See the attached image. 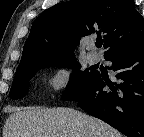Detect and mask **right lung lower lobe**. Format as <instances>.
Returning a JSON list of instances; mask_svg holds the SVG:
<instances>
[{
    "label": "right lung lower lobe",
    "mask_w": 144,
    "mask_h": 137,
    "mask_svg": "<svg viewBox=\"0 0 144 137\" xmlns=\"http://www.w3.org/2000/svg\"><path fill=\"white\" fill-rule=\"evenodd\" d=\"M116 80L100 71L74 101L128 137H144V39L110 52Z\"/></svg>",
    "instance_id": "obj_1"
}]
</instances>
